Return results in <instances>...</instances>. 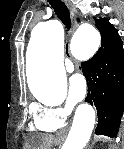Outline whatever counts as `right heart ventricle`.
<instances>
[{"instance_id": "e07e8e85", "label": "right heart ventricle", "mask_w": 124, "mask_h": 149, "mask_svg": "<svg viewBox=\"0 0 124 149\" xmlns=\"http://www.w3.org/2000/svg\"><path fill=\"white\" fill-rule=\"evenodd\" d=\"M30 129L40 132V133H47V132H51V131L55 130V128H52L47 125L37 124L36 122H34L33 124L30 125Z\"/></svg>"}]
</instances>
